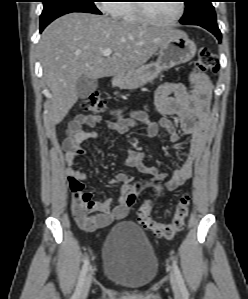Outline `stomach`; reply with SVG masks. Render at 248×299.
Instances as JSON below:
<instances>
[{
  "mask_svg": "<svg viewBox=\"0 0 248 299\" xmlns=\"http://www.w3.org/2000/svg\"><path fill=\"white\" fill-rule=\"evenodd\" d=\"M196 45L181 31L169 37L159 48L156 62L132 72L116 76L113 84L124 89L138 88L155 79L163 70L190 61L196 53Z\"/></svg>",
  "mask_w": 248,
  "mask_h": 299,
  "instance_id": "0dacf381",
  "label": "stomach"
}]
</instances>
